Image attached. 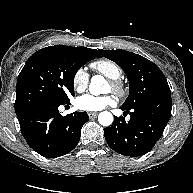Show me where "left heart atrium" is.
Masks as SVG:
<instances>
[{"label":"left heart atrium","mask_w":193,"mask_h":193,"mask_svg":"<svg viewBox=\"0 0 193 193\" xmlns=\"http://www.w3.org/2000/svg\"><path fill=\"white\" fill-rule=\"evenodd\" d=\"M114 102V98L111 95L94 96L84 94L75 100V106L82 111L95 112L112 106Z\"/></svg>","instance_id":"obj_1"}]
</instances>
